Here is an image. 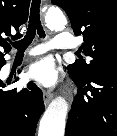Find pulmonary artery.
<instances>
[{
    "label": "pulmonary artery",
    "instance_id": "1",
    "mask_svg": "<svg viewBox=\"0 0 117 136\" xmlns=\"http://www.w3.org/2000/svg\"><path fill=\"white\" fill-rule=\"evenodd\" d=\"M76 45L75 38L68 31L60 32L55 39L48 43H42L34 49L29 50L27 55H40L49 49H72Z\"/></svg>",
    "mask_w": 117,
    "mask_h": 136
}]
</instances>
